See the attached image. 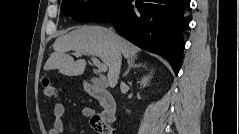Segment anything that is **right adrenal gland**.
Masks as SVG:
<instances>
[{
  "label": "right adrenal gland",
  "instance_id": "right-adrenal-gland-1",
  "mask_svg": "<svg viewBox=\"0 0 239 134\" xmlns=\"http://www.w3.org/2000/svg\"><path fill=\"white\" fill-rule=\"evenodd\" d=\"M127 62H128V68H127L126 72L123 74V77L127 76V74L129 73L131 68H137V67L142 66V64H135L134 59H129Z\"/></svg>",
  "mask_w": 239,
  "mask_h": 134
}]
</instances>
